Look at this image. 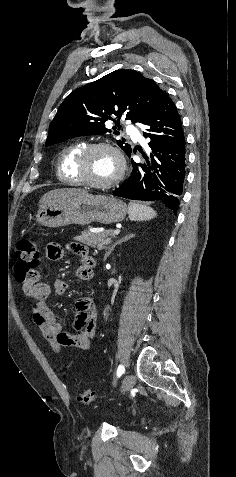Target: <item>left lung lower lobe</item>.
I'll use <instances>...</instances> for the list:
<instances>
[{
    "mask_svg": "<svg viewBox=\"0 0 236 477\" xmlns=\"http://www.w3.org/2000/svg\"><path fill=\"white\" fill-rule=\"evenodd\" d=\"M143 135L150 138L148 145L152 151L149 156L140 151L146 160L144 164L131 160V176L114 191V195L132 200L160 201L176 214L185 179V135L176 106L163 90Z\"/></svg>",
    "mask_w": 236,
    "mask_h": 477,
    "instance_id": "1",
    "label": "left lung lower lobe"
}]
</instances>
